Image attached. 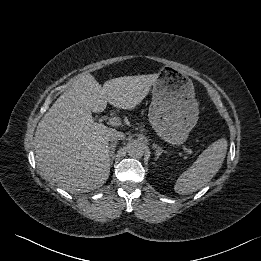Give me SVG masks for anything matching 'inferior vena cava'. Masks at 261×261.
Returning <instances> with one entry per match:
<instances>
[{
    "instance_id": "1",
    "label": "inferior vena cava",
    "mask_w": 261,
    "mask_h": 261,
    "mask_svg": "<svg viewBox=\"0 0 261 261\" xmlns=\"http://www.w3.org/2000/svg\"><path fill=\"white\" fill-rule=\"evenodd\" d=\"M109 139L110 140H115V141L116 140H123V139H125V134L122 133V132H119L117 130H113L109 134Z\"/></svg>"
}]
</instances>
